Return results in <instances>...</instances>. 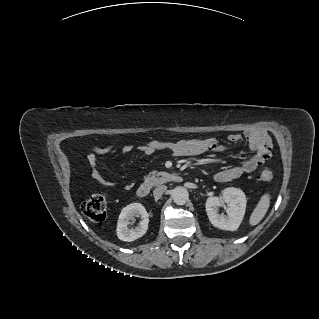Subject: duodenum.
I'll return each instance as SVG.
<instances>
[{"mask_svg": "<svg viewBox=\"0 0 319 319\" xmlns=\"http://www.w3.org/2000/svg\"><path fill=\"white\" fill-rule=\"evenodd\" d=\"M180 180H181V177L173 173H167V172L158 173L154 176L147 178L144 182H142L138 186L136 190V194L140 198H145L150 194L153 187L159 186L165 183L179 182Z\"/></svg>", "mask_w": 319, "mask_h": 319, "instance_id": "duodenum-1", "label": "duodenum"}]
</instances>
